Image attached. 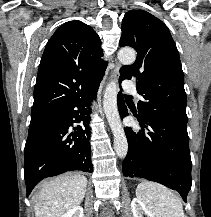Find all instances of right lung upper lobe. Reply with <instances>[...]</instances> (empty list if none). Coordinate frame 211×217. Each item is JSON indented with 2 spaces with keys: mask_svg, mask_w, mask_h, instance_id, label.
<instances>
[{
  "mask_svg": "<svg viewBox=\"0 0 211 217\" xmlns=\"http://www.w3.org/2000/svg\"><path fill=\"white\" fill-rule=\"evenodd\" d=\"M97 33L81 21L61 25L40 61L31 115L59 108L99 86L107 62Z\"/></svg>",
  "mask_w": 211,
  "mask_h": 217,
  "instance_id": "1",
  "label": "right lung upper lobe"
}]
</instances>
